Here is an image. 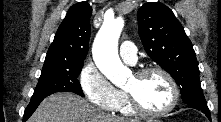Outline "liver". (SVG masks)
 <instances>
[{"mask_svg":"<svg viewBox=\"0 0 221 122\" xmlns=\"http://www.w3.org/2000/svg\"><path fill=\"white\" fill-rule=\"evenodd\" d=\"M28 122H139L111 116L72 93H55L45 98Z\"/></svg>","mask_w":221,"mask_h":122,"instance_id":"liver-1","label":"liver"}]
</instances>
